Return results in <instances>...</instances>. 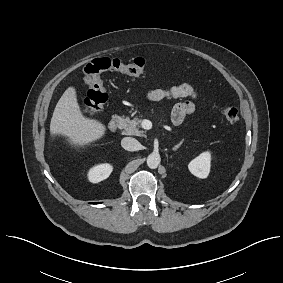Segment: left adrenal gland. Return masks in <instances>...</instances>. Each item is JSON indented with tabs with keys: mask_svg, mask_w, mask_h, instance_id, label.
Masks as SVG:
<instances>
[{
	"mask_svg": "<svg viewBox=\"0 0 283 283\" xmlns=\"http://www.w3.org/2000/svg\"><path fill=\"white\" fill-rule=\"evenodd\" d=\"M183 144V141H181L179 144H177L175 147H173V151H176L178 148L181 147V145Z\"/></svg>",
	"mask_w": 283,
	"mask_h": 283,
	"instance_id": "obj_1",
	"label": "left adrenal gland"
}]
</instances>
